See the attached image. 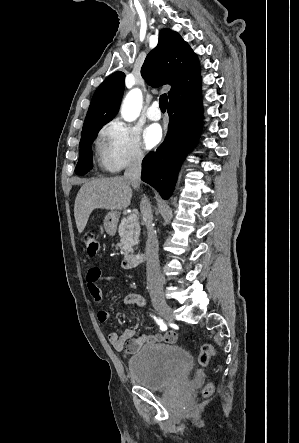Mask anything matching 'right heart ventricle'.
Returning <instances> with one entry per match:
<instances>
[{
    "instance_id": "obj_1",
    "label": "right heart ventricle",
    "mask_w": 299,
    "mask_h": 443,
    "mask_svg": "<svg viewBox=\"0 0 299 443\" xmlns=\"http://www.w3.org/2000/svg\"><path fill=\"white\" fill-rule=\"evenodd\" d=\"M99 156H100L102 163L104 164L102 148H99Z\"/></svg>"
}]
</instances>
